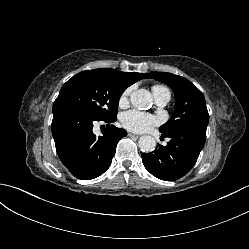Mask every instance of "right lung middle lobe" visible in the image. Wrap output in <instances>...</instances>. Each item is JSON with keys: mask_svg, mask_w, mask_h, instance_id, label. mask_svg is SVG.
<instances>
[{"mask_svg": "<svg viewBox=\"0 0 249 249\" xmlns=\"http://www.w3.org/2000/svg\"><path fill=\"white\" fill-rule=\"evenodd\" d=\"M126 87L103 69L86 70L68 80L54 103H67L91 117L115 118Z\"/></svg>", "mask_w": 249, "mask_h": 249, "instance_id": "dd1d6c3e", "label": "right lung middle lobe"}]
</instances>
